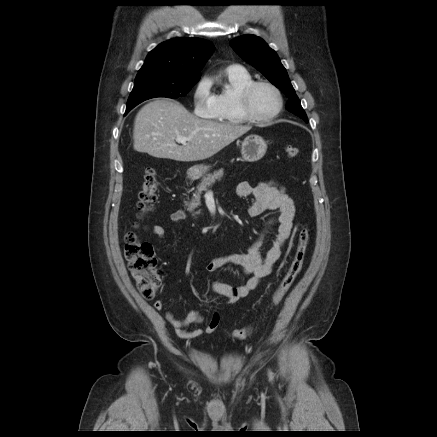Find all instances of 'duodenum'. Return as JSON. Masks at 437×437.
Listing matches in <instances>:
<instances>
[{"mask_svg": "<svg viewBox=\"0 0 437 437\" xmlns=\"http://www.w3.org/2000/svg\"><path fill=\"white\" fill-rule=\"evenodd\" d=\"M189 177H192V175H191V174H189Z\"/></svg>", "mask_w": 437, "mask_h": 437, "instance_id": "obj_1", "label": "duodenum"}]
</instances>
